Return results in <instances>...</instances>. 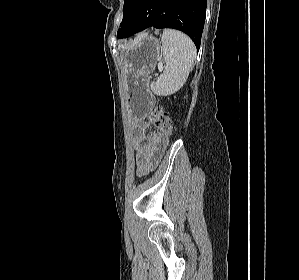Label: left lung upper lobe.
<instances>
[{
    "mask_svg": "<svg viewBox=\"0 0 299 280\" xmlns=\"http://www.w3.org/2000/svg\"><path fill=\"white\" fill-rule=\"evenodd\" d=\"M135 0H124V7H123V20L120 24L121 28L120 30L117 32V37H119L121 31L123 30V28L127 25L131 12L133 10V3Z\"/></svg>",
    "mask_w": 299,
    "mask_h": 280,
    "instance_id": "1",
    "label": "left lung upper lobe"
}]
</instances>
